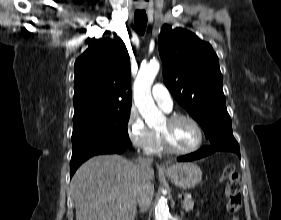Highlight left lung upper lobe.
<instances>
[{
    "label": "left lung upper lobe",
    "instance_id": "5c2ea615",
    "mask_svg": "<svg viewBox=\"0 0 281 220\" xmlns=\"http://www.w3.org/2000/svg\"><path fill=\"white\" fill-rule=\"evenodd\" d=\"M163 79L175 99L199 122L210 146H239L222 89L223 76L212 46L192 32L167 25L158 39Z\"/></svg>",
    "mask_w": 281,
    "mask_h": 220
}]
</instances>
